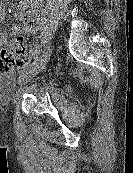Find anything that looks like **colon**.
<instances>
[{
    "label": "colon",
    "mask_w": 133,
    "mask_h": 173,
    "mask_svg": "<svg viewBox=\"0 0 133 173\" xmlns=\"http://www.w3.org/2000/svg\"><path fill=\"white\" fill-rule=\"evenodd\" d=\"M28 62L29 58L20 37L12 41L9 49L0 51V71H8L15 66H24Z\"/></svg>",
    "instance_id": "1"
}]
</instances>
